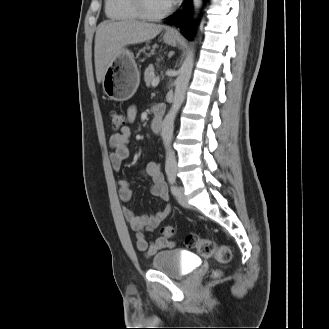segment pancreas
Masks as SVG:
<instances>
[{
  "mask_svg": "<svg viewBox=\"0 0 329 329\" xmlns=\"http://www.w3.org/2000/svg\"><path fill=\"white\" fill-rule=\"evenodd\" d=\"M153 79H154V67H153V65H150L149 67H147L145 69V72H144V81H145L147 87L150 86Z\"/></svg>",
  "mask_w": 329,
  "mask_h": 329,
  "instance_id": "cf45deb5",
  "label": "pancreas"
}]
</instances>
